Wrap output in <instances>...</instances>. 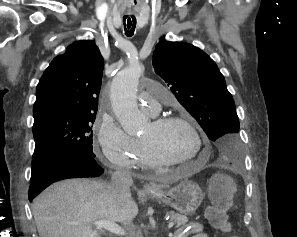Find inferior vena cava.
<instances>
[{"label": "inferior vena cava", "mask_w": 297, "mask_h": 237, "mask_svg": "<svg viewBox=\"0 0 297 237\" xmlns=\"http://www.w3.org/2000/svg\"><path fill=\"white\" fill-rule=\"evenodd\" d=\"M132 184L133 180L129 172L118 170L112 175V191L116 198L120 200H125L130 196V187ZM124 226L127 230H132L134 228L131 221L124 223Z\"/></svg>", "instance_id": "obj_1"}]
</instances>
